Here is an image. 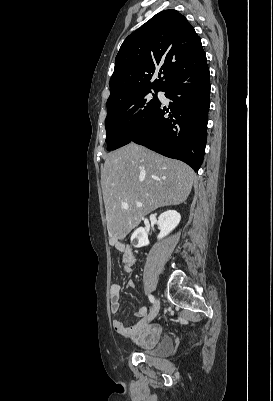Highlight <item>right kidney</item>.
<instances>
[{"label":"right kidney","mask_w":273,"mask_h":401,"mask_svg":"<svg viewBox=\"0 0 273 401\" xmlns=\"http://www.w3.org/2000/svg\"><path fill=\"white\" fill-rule=\"evenodd\" d=\"M180 221L181 215L177 213V211H166V213H162L157 221V225H159L160 229L157 239H163V237L169 235V233L179 225ZM131 241L133 247H146V245H149L148 235L143 227L136 229L131 237Z\"/></svg>","instance_id":"obj_1"}]
</instances>
